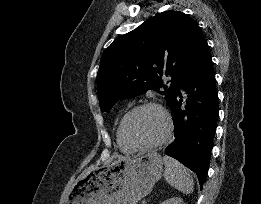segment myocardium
Instances as JSON below:
<instances>
[{
  "instance_id": "myocardium-1",
  "label": "myocardium",
  "mask_w": 261,
  "mask_h": 204,
  "mask_svg": "<svg viewBox=\"0 0 261 204\" xmlns=\"http://www.w3.org/2000/svg\"><path fill=\"white\" fill-rule=\"evenodd\" d=\"M143 109H154L161 115L163 122H164V131H163L162 135L160 136V138L157 139L156 141L149 143V144H145V145H137V144L132 143L127 138L126 132H125V126H126L128 119L134 113H136L140 110H143ZM172 126H173L172 120H171V117H170L168 111L161 104H159L157 102L147 101V102H143L138 105H135L134 107L129 109L124 114V116L122 117L120 124H119V133H120V137H121V140L123 141V143L131 150L148 151V150H152V149L159 147L160 145H162L163 143H165L167 141V139L169 138V136L171 134Z\"/></svg>"
}]
</instances>
